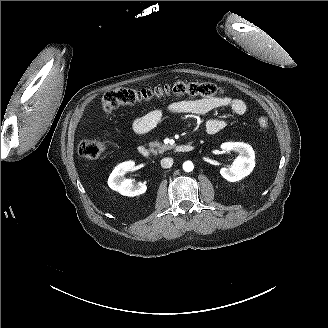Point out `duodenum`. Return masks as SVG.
<instances>
[{
    "label": "duodenum",
    "mask_w": 328,
    "mask_h": 328,
    "mask_svg": "<svg viewBox=\"0 0 328 328\" xmlns=\"http://www.w3.org/2000/svg\"><path fill=\"white\" fill-rule=\"evenodd\" d=\"M194 149L192 145L189 144H181L175 147V151L178 153H188L191 152ZM138 153L144 157V158H149L151 156V151L148 147L145 145H140L138 147Z\"/></svg>",
    "instance_id": "410a0bca"
}]
</instances>
